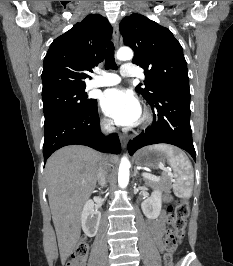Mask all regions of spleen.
Returning <instances> with one entry per match:
<instances>
[{
	"instance_id": "3e777b00",
	"label": "spleen",
	"mask_w": 233,
	"mask_h": 266,
	"mask_svg": "<svg viewBox=\"0 0 233 266\" xmlns=\"http://www.w3.org/2000/svg\"><path fill=\"white\" fill-rule=\"evenodd\" d=\"M165 153L168 163L173 170L174 193L183 198L192 194L194 172L190 160L180 149L168 144H155L149 147Z\"/></svg>"
}]
</instances>
